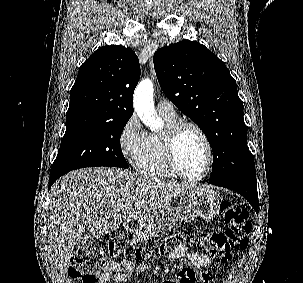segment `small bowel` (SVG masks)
<instances>
[{
  "label": "small bowel",
  "instance_id": "c3829d8e",
  "mask_svg": "<svg viewBox=\"0 0 303 283\" xmlns=\"http://www.w3.org/2000/svg\"><path fill=\"white\" fill-rule=\"evenodd\" d=\"M168 259L176 261L181 259L189 260L196 268H206L211 265L210 258L205 254H200L192 249L186 243L178 244L172 251L168 253ZM149 268V264L142 263L134 266L128 260L107 262L102 269L98 283H108L110 281L126 282L132 273H144ZM201 283H212L209 273L203 272L200 278Z\"/></svg>",
  "mask_w": 303,
  "mask_h": 283
}]
</instances>
